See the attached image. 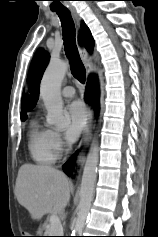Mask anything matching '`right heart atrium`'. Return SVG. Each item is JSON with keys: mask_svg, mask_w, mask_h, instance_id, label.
I'll list each match as a JSON object with an SVG mask.
<instances>
[{"mask_svg": "<svg viewBox=\"0 0 158 237\" xmlns=\"http://www.w3.org/2000/svg\"><path fill=\"white\" fill-rule=\"evenodd\" d=\"M51 138H52L53 149L57 154H59L64 147L62 136L60 135L59 132L52 131Z\"/></svg>", "mask_w": 158, "mask_h": 237, "instance_id": "1", "label": "right heart atrium"}]
</instances>
